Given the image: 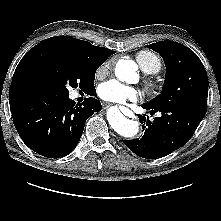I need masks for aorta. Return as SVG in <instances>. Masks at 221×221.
<instances>
[{
  "mask_svg": "<svg viewBox=\"0 0 221 221\" xmlns=\"http://www.w3.org/2000/svg\"><path fill=\"white\" fill-rule=\"evenodd\" d=\"M137 64L132 60H120L117 63L115 74L121 81L132 82L137 79ZM107 119L111 127L121 136L134 137L139 132V123L127 119L117 107H112L107 112Z\"/></svg>",
  "mask_w": 221,
  "mask_h": 221,
  "instance_id": "1",
  "label": "aorta"
}]
</instances>
